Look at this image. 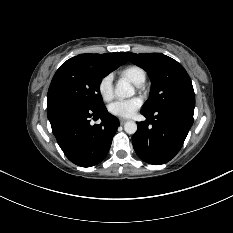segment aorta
Returning <instances> with one entry per match:
<instances>
[{
    "label": "aorta",
    "mask_w": 233,
    "mask_h": 233,
    "mask_svg": "<svg viewBox=\"0 0 233 233\" xmlns=\"http://www.w3.org/2000/svg\"><path fill=\"white\" fill-rule=\"evenodd\" d=\"M135 94L134 88L126 81H119L115 88V95L120 98H129ZM124 130L128 134H134L137 131V124L134 121H127L124 124Z\"/></svg>",
    "instance_id": "1"
}]
</instances>
